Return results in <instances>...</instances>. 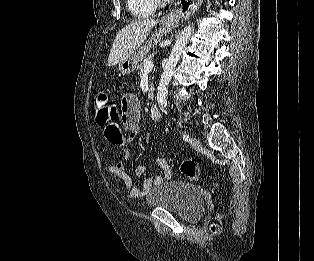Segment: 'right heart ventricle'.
Here are the masks:
<instances>
[{"label": "right heart ventricle", "mask_w": 314, "mask_h": 261, "mask_svg": "<svg viewBox=\"0 0 314 261\" xmlns=\"http://www.w3.org/2000/svg\"><path fill=\"white\" fill-rule=\"evenodd\" d=\"M127 7L135 18L151 17L156 10L153 0H127Z\"/></svg>", "instance_id": "1"}]
</instances>
